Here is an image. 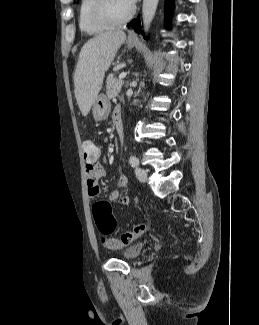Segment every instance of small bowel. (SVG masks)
Returning a JSON list of instances; mask_svg holds the SVG:
<instances>
[{
    "label": "small bowel",
    "instance_id": "1",
    "mask_svg": "<svg viewBox=\"0 0 259 325\" xmlns=\"http://www.w3.org/2000/svg\"><path fill=\"white\" fill-rule=\"evenodd\" d=\"M116 114L121 115L120 107H116L113 111V120ZM100 154V152H99ZM99 154L95 160H86V179L88 195L91 198L98 196L100 192L98 181L105 176V169L99 162ZM128 185V178L125 175H121L119 178V189L114 190L109 194V199L114 202H118L122 205H126L129 202V197L122 193V189Z\"/></svg>",
    "mask_w": 259,
    "mask_h": 325
}]
</instances>
